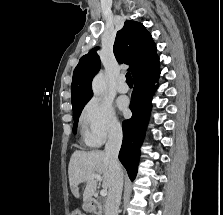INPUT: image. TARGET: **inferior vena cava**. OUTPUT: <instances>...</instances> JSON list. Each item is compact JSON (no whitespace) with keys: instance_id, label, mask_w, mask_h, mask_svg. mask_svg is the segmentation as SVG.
<instances>
[{"instance_id":"1","label":"inferior vena cava","mask_w":223,"mask_h":215,"mask_svg":"<svg viewBox=\"0 0 223 215\" xmlns=\"http://www.w3.org/2000/svg\"><path fill=\"white\" fill-rule=\"evenodd\" d=\"M122 137L123 133L121 127H112L105 145L106 155L110 159L109 169L112 175L111 185L105 201V215H118V207L123 187V171L118 159Z\"/></svg>"}]
</instances>
